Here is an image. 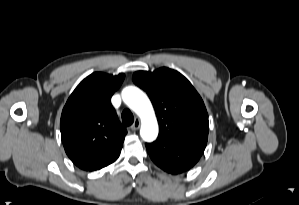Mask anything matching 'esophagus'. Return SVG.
Wrapping results in <instances>:
<instances>
[{"label": "esophagus", "mask_w": 299, "mask_h": 205, "mask_svg": "<svg viewBox=\"0 0 299 205\" xmlns=\"http://www.w3.org/2000/svg\"><path fill=\"white\" fill-rule=\"evenodd\" d=\"M140 127V120L139 119H135L134 123L132 124V126L130 127V129L132 131H136L138 130Z\"/></svg>", "instance_id": "1"}]
</instances>
